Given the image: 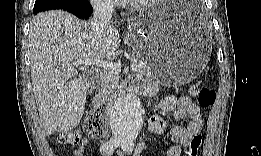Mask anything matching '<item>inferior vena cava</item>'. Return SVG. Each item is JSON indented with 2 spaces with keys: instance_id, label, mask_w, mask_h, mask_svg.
Wrapping results in <instances>:
<instances>
[{
  "instance_id": "obj_1",
  "label": "inferior vena cava",
  "mask_w": 261,
  "mask_h": 156,
  "mask_svg": "<svg viewBox=\"0 0 261 156\" xmlns=\"http://www.w3.org/2000/svg\"><path fill=\"white\" fill-rule=\"evenodd\" d=\"M92 6L93 17L90 25L97 33H102L111 24L113 4L110 0H95Z\"/></svg>"
}]
</instances>
